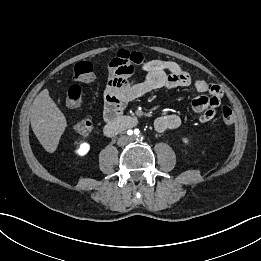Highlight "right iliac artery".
Returning a JSON list of instances; mask_svg holds the SVG:
<instances>
[{
  "mask_svg": "<svg viewBox=\"0 0 261 261\" xmlns=\"http://www.w3.org/2000/svg\"><path fill=\"white\" fill-rule=\"evenodd\" d=\"M132 133H133V132H132L131 130L128 131V135H132Z\"/></svg>",
  "mask_w": 261,
  "mask_h": 261,
  "instance_id": "1",
  "label": "right iliac artery"
}]
</instances>
